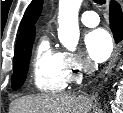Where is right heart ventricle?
Masks as SVG:
<instances>
[{"label":"right heart ventricle","mask_w":123,"mask_h":113,"mask_svg":"<svg viewBox=\"0 0 123 113\" xmlns=\"http://www.w3.org/2000/svg\"><path fill=\"white\" fill-rule=\"evenodd\" d=\"M34 86L44 92H58L67 85L63 54L55 50L48 38L40 40L33 60Z\"/></svg>","instance_id":"e07e8e85"}]
</instances>
